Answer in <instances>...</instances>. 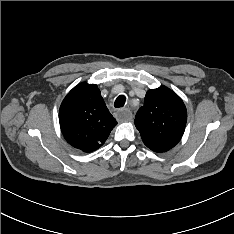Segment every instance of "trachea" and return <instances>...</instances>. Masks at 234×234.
Masks as SVG:
<instances>
[{
	"instance_id": "3493384b",
	"label": "trachea",
	"mask_w": 234,
	"mask_h": 234,
	"mask_svg": "<svg viewBox=\"0 0 234 234\" xmlns=\"http://www.w3.org/2000/svg\"><path fill=\"white\" fill-rule=\"evenodd\" d=\"M126 102V97L124 95H120L117 97V99L114 102V107L120 108L123 107Z\"/></svg>"
}]
</instances>
